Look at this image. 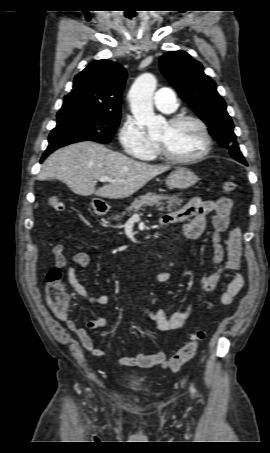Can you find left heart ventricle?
Wrapping results in <instances>:
<instances>
[{
    "instance_id": "left-heart-ventricle-1",
    "label": "left heart ventricle",
    "mask_w": 270,
    "mask_h": 453,
    "mask_svg": "<svg viewBox=\"0 0 270 453\" xmlns=\"http://www.w3.org/2000/svg\"><path fill=\"white\" fill-rule=\"evenodd\" d=\"M156 141L163 143L167 150L176 157L194 156L204 147L202 132L199 126L193 122H184L176 126L166 123Z\"/></svg>"
}]
</instances>
